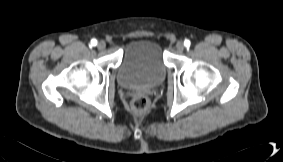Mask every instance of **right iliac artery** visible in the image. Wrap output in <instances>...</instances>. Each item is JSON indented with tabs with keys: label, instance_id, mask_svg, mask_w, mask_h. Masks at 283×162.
I'll return each instance as SVG.
<instances>
[{
	"label": "right iliac artery",
	"instance_id": "right-iliac-artery-1",
	"mask_svg": "<svg viewBox=\"0 0 283 162\" xmlns=\"http://www.w3.org/2000/svg\"><path fill=\"white\" fill-rule=\"evenodd\" d=\"M91 45L92 46H96L97 45V40L96 39H92L91 40Z\"/></svg>",
	"mask_w": 283,
	"mask_h": 162
}]
</instances>
